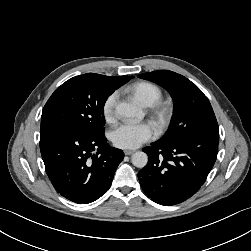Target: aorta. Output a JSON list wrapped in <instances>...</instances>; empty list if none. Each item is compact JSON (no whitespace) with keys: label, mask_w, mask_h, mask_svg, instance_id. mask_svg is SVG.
Here are the masks:
<instances>
[{"label":"aorta","mask_w":251,"mask_h":251,"mask_svg":"<svg viewBox=\"0 0 251 251\" xmlns=\"http://www.w3.org/2000/svg\"><path fill=\"white\" fill-rule=\"evenodd\" d=\"M115 112L125 118H133L140 116L141 111L133 104L120 102L116 105ZM131 162L137 168H143L148 163V156L145 152H135L131 157Z\"/></svg>","instance_id":"obj_1"}]
</instances>
